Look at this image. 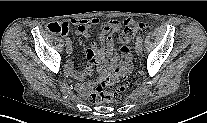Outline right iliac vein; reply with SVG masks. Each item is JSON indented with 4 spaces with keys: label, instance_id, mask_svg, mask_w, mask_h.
Segmentation results:
<instances>
[{
    "label": "right iliac vein",
    "instance_id": "63e3f726",
    "mask_svg": "<svg viewBox=\"0 0 207 123\" xmlns=\"http://www.w3.org/2000/svg\"><path fill=\"white\" fill-rule=\"evenodd\" d=\"M66 52H67L68 54H71V53H72V46H71V44H67Z\"/></svg>",
    "mask_w": 207,
    "mask_h": 123
}]
</instances>
